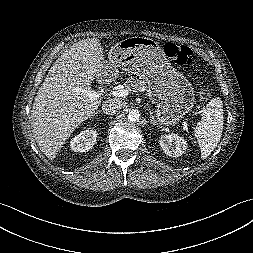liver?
Instances as JSON below:
<instances>
[{
	"mask_svg": "<svg viewBox=\"0 0 253 253\" xmlns=\"http://www.w3.org/2000/svg\"><path fill=\"white\" fill-rule=\"evenodd\" d=\"M103 50L96 38L74 43L50 68L31 111L32 133L40 150L53 160L71 133L101 104L82 93L104 74Z\"/></svg>",
	"mask_w": 253,
	"mask_h": 253,
	"instance_id": "liver-1",
	"label": "liver"
}]
</instances>
